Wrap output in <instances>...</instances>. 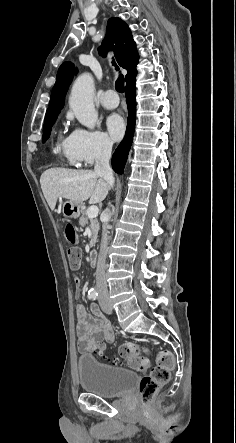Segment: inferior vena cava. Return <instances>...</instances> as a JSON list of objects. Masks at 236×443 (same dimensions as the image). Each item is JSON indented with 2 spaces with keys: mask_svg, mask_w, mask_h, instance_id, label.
Here are the masks:
<instances>
[{
  "mask_svg": "<svg viewBox=\"0 0 236 443\" xmlns=\"http://www.w3.org/2000/svg\"><path fill=\"white\" fill-rule=\"evenodd\" d=\"M113 142L105 137L102 139L100 149L96 153L94 172L102 177L108 184L109 188H113L114 177L113 170L110 167L109 160L111 157ZM106 220L102 226V239L100 245V252L98 255V262L96 268V286L98 292V301L100 305L109 304L110 298L108 294L105 269H106V255H107V223L110 217L109 208L105 210Z\"/></svg>",
  "mask_w": 236,
  "mask_h": 443,
  "instance_id": "inferior-vena-cava-1",
  "label": "inferior vena cava"
}]
</instances>
